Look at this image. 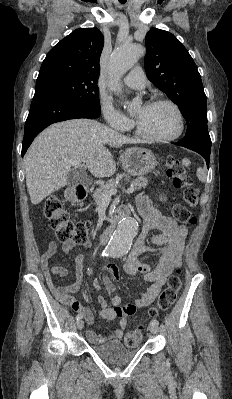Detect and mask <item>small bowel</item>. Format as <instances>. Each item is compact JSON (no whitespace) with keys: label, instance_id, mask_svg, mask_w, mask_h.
<instances>
[{"label":"small bowel","instance_id":"obj_1","mask_svg":"<svg viewBox=\"0 0 232 399\" xmlns=\"http://www.w3.org/2000/svg\"><path fill=\"white\" fill-rule=\"evenodd\" d=\"M136 203L145 217V222L136 239L134 247L128 253L124 271L130 277H135L137 274H144L146 279L151 282V286L141 294L134 305H123L117 291L114 288H110L108 293L113 297L111 306H109L104 294L101 293L99 280H94V288L99 292L98 300L101 305V318L111 319L115 316L120 317L118 329L109 338V343L111 345H119V337L127 331L128 315L136 308H146L153 303L163 284L171 275L172 270L179 265L187 235L184 227L176 225L172 220L160 218L159 205L146 195H137ZM153 229L162 231L160 235L154 236L152 239L155 245L163 246L160 249V261L156 267H153L150 263L141 262L139 260L140 253L146 248L148 234ZM75 247L76 244L74 242L66 241L62 244V252L64 255H69ZM82 247L90 249L92 243L83 242ZM56 255L57 245L55 241H50L48 243V250L43 255L40 262L48 291L53 296L59 297L65 305L70 306L83 315L84 321L80 323V328L90 327L94 324L95 314L89 307L80 304L71 296V293L78 291L81 287L82 272L80 268H78L76 279L73 283L60 287L56 286L53 282V277L64 274L61 266H49V260L56 257ZM75 259L80 261L82 256L76 254ZM102 278L104 282L108 283L111 278V272L105 271ZM86 336L94 345L103 344L102 337L92 330H87Z\"/></svg>","mask_w":232,"mask_h":399}]
</instances>
